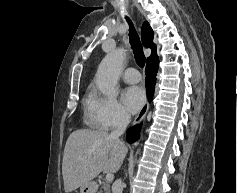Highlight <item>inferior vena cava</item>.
Here are the masks:
<instances>
[{
  "instance_id": "1",
  "label": "inferior vena cava",
  "mask_w": 237,
  "mask_h": 193,
  "mask_svg": "<svg viewBox=\"0 0 237 193\" xmlns=\"http://www.w3.org/2000/svg\"><path fill=\"white\" fill-rule=\"evenodd\" d=\"M129 122L130 116L127 113H120L116 121L115 130L110 133V137L118 139L125 132ZM122 191V181L118 179L113 183L112 192L122 193Z\"/></svg>"
}]
</instances>
